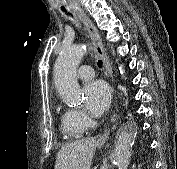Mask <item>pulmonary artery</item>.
<instances>
[{
  "label": "pulmonary artery",
  "instance_id": "pulmonary-artery-1",
  "mask_svg": "<svg viewBox=\"0 0 177 169\" xmlns=\"http://www.w3.org/2000/svg\"><path fill=\"white\" fill-rule=\"evenodd\" d=\"M77 76L80 80H90L94 76V71L91 66L83 65L78 69Z\"/></svg>",
  "mask_w": 177,
  "mask_h": 169
}]
</instances>
